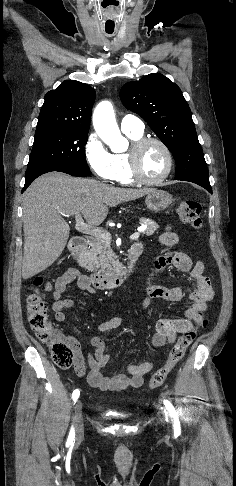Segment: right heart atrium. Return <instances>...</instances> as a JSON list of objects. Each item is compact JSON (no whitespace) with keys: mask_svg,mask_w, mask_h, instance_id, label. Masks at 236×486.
Listing matches in <instances>:
<instances>
[{"mask_svg":"<svg viewBox=\"0 0 236 486\" xmlns=\"http://www.w3.org/2000/svg\"><path fill=\"white\" fill-rule=\"evenodd\" d=\"M84 156L97 177L107 181L113 180L115 172L113 154L107 150L95 133H91L85 142Z\"/></svg>","mask_w":236,"mask_h":486,"instance_id":"obj_1","label":"right heart atrium"}]
</instances>
